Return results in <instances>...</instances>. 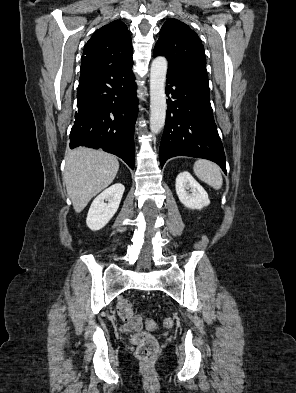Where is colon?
Here are the masks:
<instances>
[{"label": "colon", "instance_id": "1", "mask_svg": "<svg viewBox=\"0 0 296 393\" xmlns=\"http://www.w3.org/2000/svg\"><path fill=\"white\" fill-rule=\"evenodd\" d=\"M118 313L125 320H128L133 316V310L129 300L124 299L119 302ZM164 326L167 328L172 327L173 320L171 318L165 319ZM146 327L148 330L156 329L155 321L147 319ZM132 343L137 348L138 356L144 361L153 359L159 349L157 341L148 332H139L134 334L132 337Z\"/></svg>", "mask_w": 296, "mask_h": 393}]
</instances>
